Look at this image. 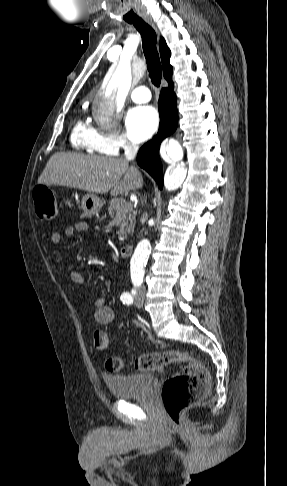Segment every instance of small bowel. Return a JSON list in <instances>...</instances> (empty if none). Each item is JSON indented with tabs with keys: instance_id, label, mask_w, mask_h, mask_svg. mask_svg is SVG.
I'll return each mask as SVG.
<instances>
[{
	"instance_id": "obj_1",
	"label": "small bowel",
	"mask_w": 287,
	"mask_h": 486,
	"mask_svg": "<svg viewBox=\"0 0 287 486\" xmlns=\"http://www.w3.org/2000/svg\"><path fill=\"white\" fill-rule=\"evenodd\" d=\"M88 230L89 225L84 221H79L65 228L63 233L59 231L53 232L51 235V241L55 245H60L64 236L72 237L76 233ZM70 278L78 285L85 284V278L76 270H72L70 272ZM92 303L95 308L94 318L99 325H108L114 320V311L111 307L105 304L102 296L95 295L92 299Z\"/></svg>"
}]
</instances>
